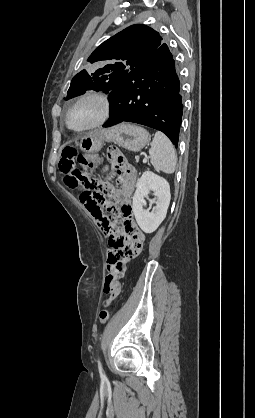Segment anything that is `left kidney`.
Masks as SVG:
<instances>
[{"instance_id": "obj_1", "label": "left kidney", "mask_w": 255, "mask_h": 418, "mask_svg": "<svg viewBox=\"0 0 255 418\" xmlns=\"http://www.w3.org/2000/svg\"><path fill=\"white\" fill-rule=\"evenodd\" d=\"M153 191L155 203L150 212L145 210V197ZM171 194L169 183L162 177L151 171H145L137 183V188L133 196V212L139 227L145 233L154 232L162 223L167 214L170 204Z\"/></svg>"}]
</instances>
